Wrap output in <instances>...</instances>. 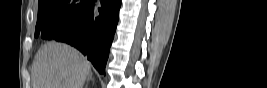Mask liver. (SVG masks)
<instances>
[{"label":"liver","mask_w":267,"mask_h":88,"mask_svg":"<svg viewBox=\"0 0 267 88\" xmlns=\"http://www.w3.org/2000/svg\"><path fill=\"white\" fill-rule=\"evenodd\" d=\"M90 72V63L78 50L63 43H47L35 56L33 88H83Z\"/></svg>","instance_id":"1"}]
</instances>
